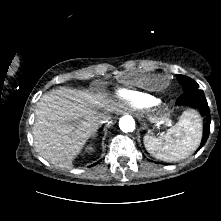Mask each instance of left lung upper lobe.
<instances>
[{"instance_id":"obj_1","label":"left lung upper lobe","mask_w":221,"mask_h":221,"mask_svg":"<svg viewBox=\"0 0 221 221\" xmlns=\"http://www.w3.org/2000/svg\"><path fill=\"white\" fill-rule=\"evenodd\" d=\"M176 76H177L178 81L182 85L184 92L198 89L199 85L193 79L184 75H176Z\"/></svg>"}]
</instances>
